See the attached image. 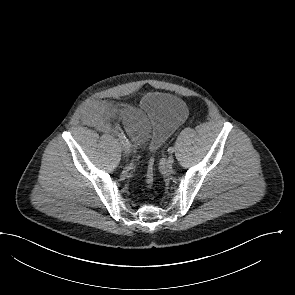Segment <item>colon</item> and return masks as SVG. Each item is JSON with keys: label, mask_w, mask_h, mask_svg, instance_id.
<instances>
[{"label": "colon", "mask_w": 295, "mask_h": 295, "mask_svg": "<svg viewBox=\"0 0 295 295\" xmlns=\"http://www.w3.org/2000/svg\"><path fill=\"white\" fill-rule=\"evenodd\" d=\"M154 179H155V162H154V159L151 158L148 162L147 170H146L145 181H146L147 187L151 188L153 186Z\"/></svg>", "instance_id": "1"}]
</instances>
